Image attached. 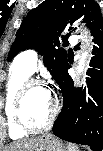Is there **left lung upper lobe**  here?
Wrapping results in <instances>:
<instances>
[{
	"label": "left lung upper lobe",
	"instance_id": "5c2ea615",
	"mask_svg": "<svg viewBox=\"0 0 103 151\" xmlns=\"http://www.w3.org/2000/svg\"><path fill=\"white\" fill-rule=\"evenodd\" d=\"M79 18L91 30H103L102 14L95 1L45 0L24 17L8 54V61L22 50L36 49L44 56V65L55 79L68 61L66 51L56 48L60 46L59 37L65 28ZM72 29L69 27V30ZM67 36H62V39Z\"/></svg>",
	"mask_w": 103,
	"mask_h": 151
}]
</instances>
